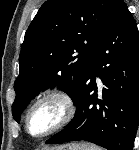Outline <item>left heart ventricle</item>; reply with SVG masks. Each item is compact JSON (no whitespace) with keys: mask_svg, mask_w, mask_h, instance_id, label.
Listing matches in <instances>:
<instances>
[{"mask_svg":"<svg viewBox=\"0 0 139 150\" xmlns=\"http://www.w3.org/2000/svg\"><path fill=\"white\" fill-rule=\"evenodd\" d=\"M63 109L56 100H46L40 103L30 117V131L40 135L51 129L62 117Z\"/></svg>","mask_w":139,"mask_h":150,"instance_id":"left-heart-ventricle-1","label":"left heart ventricle"}]
</instances>
